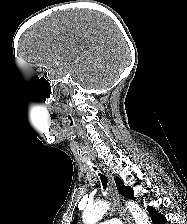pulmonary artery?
Returning a JSON list of instances; mask_svg holds the SVG:
<instances>
[{"label": "pulmonary artery", "mask_w": 187, "mask_h": 224, "mask_svg": "<svg viewBox=\"0 0 187 224\" xmlns=\"http://www.w3.org/2000/svg\"><path fill=\"white\" fill-rule=\"evenodd\" d=\"M100 224H119L118 222L114 221V220H107V221H104Z\"/></svg>", "instance_id": "pulmonary-artery-1"}]
</instances>
